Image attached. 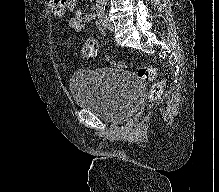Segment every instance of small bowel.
I'll list each match as a JSON object with an SVG mask.
<instances>
[{
  "label": "small bowel",
  "mask_w": 219,
  "mask_h": 192,
  "mask_svg": "<svg viewBox=\"0 0 219 192\" xmlns=\"http://www.w3.org/2000/svg\"><path fill=\"white\" fill-rule=\"evenodd\" d=\"M76 0H50L49 8L58 17L63 16L66 11L73 12V15L69 19V25L74 32H81L85 25L95 18V13L91 12L84 15L81 8L75 7ZM105 34L104 32H102Z\"/></svg>",
  "instance_id": "c3829d8e"
}]
</instances>
